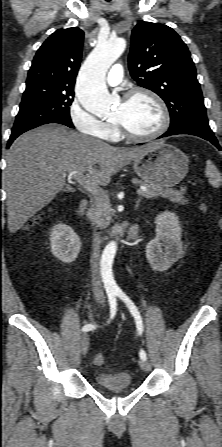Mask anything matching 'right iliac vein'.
<instances>
[{"label": "right iliac vein", "instance_id": "obj_1", "mask_svg": "<svg viewBox=\"0 0 222 447\" xmlns=\"http://www.w3.org/2000/svg\"><path fill=\"white\" fill-rule=\"evenodd\" d=\"M88 348H89V334L84 333L81 336V350L83 355H86Z\"/></svg>", "mask_w": 222, "mask_h": 447}]
</instances>
